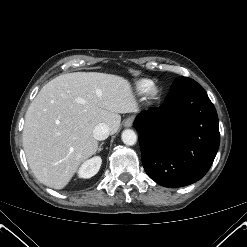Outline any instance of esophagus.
<instances>
[{
	"instance_id": "34e87169",
	"label": "esophagus",
	"mask_w": 247,
	"mask_h": 247,
	"mask_svg": "<svg viewBox=\"0 0 247 247\" xmlns=\"http://www.w3.org/2000/svg\"><path fill=\"white\" fill-rule=\"evenodd\" d=\"M133 124V118L132 117H129L127 118L125 121H124V126L125 127H131Z\"/></svg>"
}]
</instances>
